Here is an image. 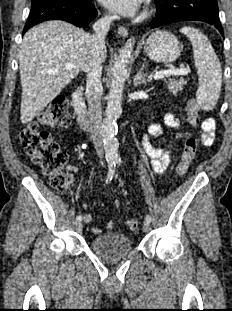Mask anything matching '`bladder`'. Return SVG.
Wrapping results in <instances>:
<instances>
[{
	"label": "bladder",
	"mask_w": 232,
	"mask_h": 311,
	"mask_svg": "<svg viewBox=\"0 0 232 311\" xmlns=\"http://www.w3.org/2000/svg\"><path fill=\"white\" fill-rule=\"evenodd\" d=\"M91 248L104 258L114 260L129 254L133 246L129 236L123 233L108 232L93 238Z\"/></svg>",
	"instance_id": "obj_1"
}]
</instances>
